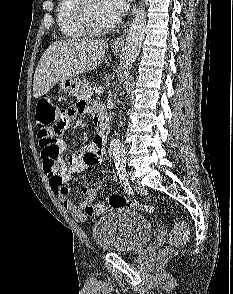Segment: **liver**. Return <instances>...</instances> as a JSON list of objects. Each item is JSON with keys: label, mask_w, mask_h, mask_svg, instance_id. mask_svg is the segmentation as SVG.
<instances>
[{"label": "liver", "mask_w": 233, "mask_h": 294, "mask_svg": "<svg viewBox=\"0 0 233 294\" xmlns=\"http://www.w3.org/2000/svg\"><path fill=\"white\" fill-rule=\"evenodd\" d=\"M103 40L67 39L52 43L42 55L33 81V96L38 99L63 79L95 69L106 56Z\"/></svg>", "instance_id": "liver-1"}]
</instances>
